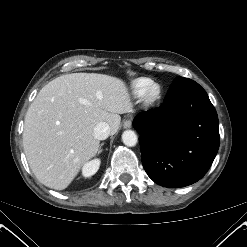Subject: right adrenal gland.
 <instances>
[{
	"label": "right adrenal gland",
	"instance_id": "2a0ac1e0",
	"mask_svg": "<svg viewBox=\"0 0 247 247\" xmlns=\"http://www.w3.org/2000/svg\"><path fill=\"white\" fill-rule=\"evenodd\" d=\"M102 146H103V143L100 144V147H99V150H98V155L102 152Z\"/></svg>",
	"mask_w": 247,
	"mask_h": 247
}]
</instances>
